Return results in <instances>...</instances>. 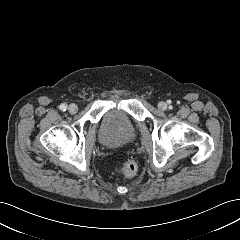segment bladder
<instances>
[{"label":"bladder","instance_id":"bladder-1","mask_svg":"<svg viewBox=\"0 0 240 240\" xmlns=\"http://www.w3.org/2000/svg\"><path fill=\"white\" fill-rule=\"evenodd\" d=\"M99 130L102 144L112 149L129 144L136 136L135 122L120 110H111L104 114Z\"/></svg>","mask_w":240,"mask_h":240}]
</instances>
